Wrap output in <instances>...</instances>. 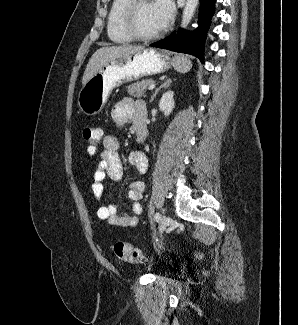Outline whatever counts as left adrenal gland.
<instances>
[{"label": "left adrenal gland", "mask_w": 298, "mask_h": 325, "mask_svg": "<svg viewBox=\"0 0 298 325\" xmlns=\"http://www.w3.org/2000/svg\"><path fill=\"white\" fill-rule=\"evenodd\" d=\"M172 80L171 78H164L163 82H161L160 86H158V88H156L155 92H153L149 102H152V100H154L155 96H157L159 90H161V88H167V86H170Z\"/></svg>", "instance_id": "left-adrenal-gland-1"}]
</instances>
